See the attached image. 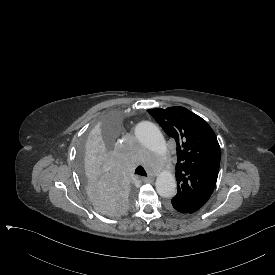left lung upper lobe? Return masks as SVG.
<instances>
[{
  "instance_id": "left-lung-upper-lobe-1",
  "label": "left lung upper lobe",
  "mask_w": 275,
  "mask_h": 275,
  "mask_svg": "<svg viewBox=\"0 0 275 275\" xmlns=\"http://www.w3.org/2000/svg\"><path fill=\"white\" fill-rule=\"evenodd\" d=\"M147 111L177 143L178 191L171 204L194 213L207 202L217 181L221 153L216 135L204 119L184 107Z\"/></svg>"
}]
</instances>
